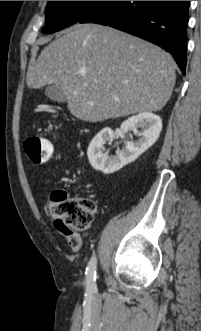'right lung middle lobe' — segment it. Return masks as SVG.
<instances>
[{
    "label": "right lung middle lobe",
    "mask_w": 201,
    "mask_h": 331,
    "mask_svg": "<svg viewBox=\"0 0 201 331\" xmlns=\"http://www.w3.org/2000/svg\"><path fill=\"white\" fill-rule=\"evenodd\" d=\"M105 1H48L46 27L43 32L52 33L68 27Z\"/></svg>",
    "instance_id": "obj_1"
}]
</instances>
